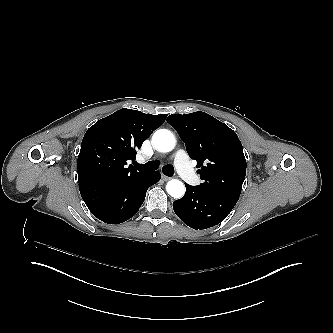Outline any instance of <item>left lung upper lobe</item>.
Segmentation results:
<instances>
[{
  "instance_id": "obj_1",
  "label": "left lung upper lobe",
  "mask_w": 333,
  "mask_h": 333,
  "mask_svg": "<svg viewBox=\"0 0 333 333\" xmlns=\"http://www.w3.org/2000/svg\"><path fill=\"white\" fill-rule=\"evenodd\" d=\"M167 122L176 129L187 152L197 161L203 180L199 186L208 192L240 196L246 175V159L237 134L224 123L198 111L170 115Z\"/></svg>"
}]
</instances>
